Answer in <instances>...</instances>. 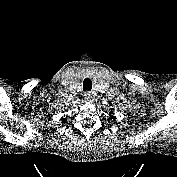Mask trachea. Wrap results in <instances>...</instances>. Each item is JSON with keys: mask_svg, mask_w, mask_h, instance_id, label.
<instances>
[{"mask_svg": "<svg viewBox=\"0 0 177 177\" xmlns=\"http://www.w3.org/2000/svg\"><path fill=\"white\" fill-rule=\"evenodd\" d=\"M92 81L90 78H85L83 81V91H91Z\"/></svg>", "mask_w": 177, "mask_h": 177, "instance_id": "trachea-1", "label": "trachea"}]
</instances>
